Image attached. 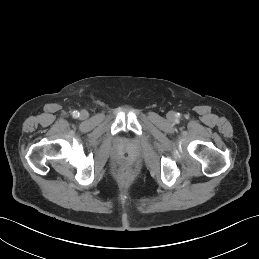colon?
<instances>
[{
	"mask_svg": "<svg viewBox=\"0 0 259 259\" xmlns=\"http://www.w3.org/2000/svg\"><path fill=\"white\" fill-rule=\"evenodd\" d=\"M129 171L128 170H124L123 172H122V175L124 176V177H128L129 176Z\"/></svg>",
	"mask_w": 259,
	"mask_h": 259,
	"instance_id": "colon-1",
	"label": "colon"
}]
</instances>
